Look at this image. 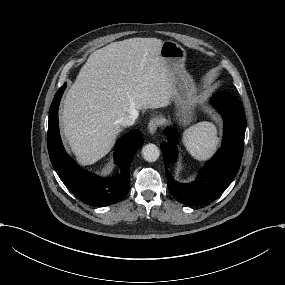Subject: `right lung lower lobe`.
<instances>
[{"instance_id":"right-lung-lower-lobe-1","label":"right lung lower lobe","mask_w":285,"mask_h":285,"mask_svg":"<svg viewBox=\"0 0 285 285\" xmlns=\"http://www.w3.org/2000/svg\"><path fill=\"white\" fill-rule=\"evenodd\" d=\"M66 83L56 92L49 110L48 152L51 163L65 186L82 202L93 206H107L120 201L130 188V165L143 137L134 130L117 141L115 163L121 173L99 178L81 169L65 152L58 127V107Z\"/></svg>"}]
</instances>
